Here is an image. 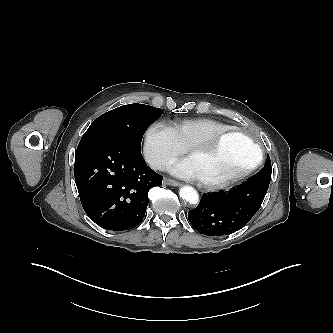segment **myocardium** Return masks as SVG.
Segmentation results:
<instances>
[{"label":"myocardium","instance_id":"obj_1","mask_svg":"<svg viewBox=\"0 0 333 333\" xmlns=\"http://www.w3.org/2000/svg\"><path fill=\"white\" fill-rule=\"evenodd\" d=\"M232 134H241L245 137H247L252 144L254 145L256 149V157L254 161L244 168L243 170L237 172L236 174L223 179V180H217V181H209L205 180L202 178H198L199 183L206 189L209 190H220L227 188L236 182L244 179L247 177L249 174H251L261 163L262 158H263V149L260 145V143L246 130L241 129V128H230L224 131H221L207 139L195 142L191 146L188 147L187 152L189 156H191L193 153L196 152H209L213 150L217 145L227 136L232 135Z\"/></svg>","mask_w":333,"mask_h":333}]
</instances>
